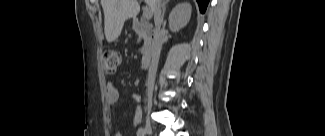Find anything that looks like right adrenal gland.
<instances>
[{
  "label": "right adrenal gland",
  "instance_id": "1",
  "mask_svg": "<svg viewBox=\"0 0 325 136\" xmlns=\"http://www.w3.org/2000/svg\"><path fill=\"white\" fill-rule=\"evenodd\" d=\"M169 1H170V0H165V1L163 2L162 21H164L163 19H164V15H165V12H166V5H167V3H168Z\"/></svg>",
  "mask_w": 325,
  "mask_h": 136
}]
</instances>
